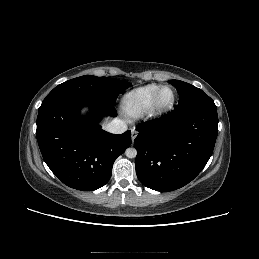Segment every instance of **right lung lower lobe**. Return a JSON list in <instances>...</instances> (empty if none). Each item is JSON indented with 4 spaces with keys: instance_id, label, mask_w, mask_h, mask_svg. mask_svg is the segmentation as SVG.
<instances>
[{
    "instance_id": "98d812e1",
    "label": "right lung lower lobe",
    "mask_w": 259,
    "mask_h": 259,
    "mask_svg": "<svg viewBox=\"0 0 259 259\" xmlns=\"http://www.w3.org/2000/svg\"><path fill=\"white\" fill-rule=\"evenodd\" d=\"M88 105V117L80 115ZM115 116L113 106L84 96L65 95L40 106L37 141L44 161L67 186L93 191L110 179L114 161L131 144V131L113 135L101 129L97 118Z\"/></svg>"
}]
</instances>
